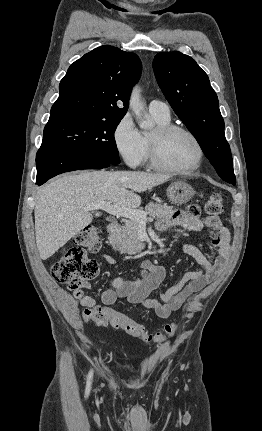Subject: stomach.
<instances>
[{"label":"stomach","instance_id":"1","mask_svg":"<svg viewBox=\"0 0 262 431\" xmlns=\"http://www.w3.org/2000/svg\"><path fill=\"white\" fill-rule=\"evenodd\" d=\"M194 195V189L184 181L172 182L167 188L168 199L174 204H185Z\"/></svg>","mask_w":262,"mask_h":431}]
</instances>
